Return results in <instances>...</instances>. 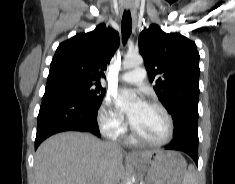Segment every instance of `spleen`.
Here are the masks:
<instances>
[{"label": "spleen", "instance_id": "obj_1", "mask_svg": "<svg viewBox=\"0 0 235 184\" xmlns=\"http://www.w3.org/2000/svg\"><path fill=\"white\" fill-rule=\"evenodd\" d=\"M197 174L194 166H189L187 172L184 174L182 184H196Z\"/></svg>", "mask_w": 235, "mask_h": 184}]
</instances>
